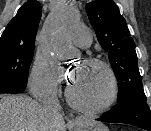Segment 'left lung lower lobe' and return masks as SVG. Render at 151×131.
Returning a JSON list of instances; mask_svg holds the SVG:
<instances>
[{
	"label": "left lung lower lobe",
	"mask_w": 151,
	"mask_h": 131,
	"mask_svg": "<svg viewBox=\"0 0 151 131\" xmlns=\"http://www.w3.org/2000/svg\"><path fill=\"white\" fill-rule=\"evenodd\" d=\"M98 121L125 123L151 131V111L146 96L136 94L104 113Z\"/></svg>",
	"instance_id": "left-lung-lower-lobe-1"
}]
</instances>
